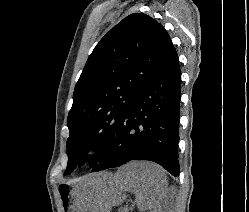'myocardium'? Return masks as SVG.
Wrapping results in <instances>:
<instances>
[{
    "label": "myocardium",
    "mask_w": 249,
    "mask_h": 212,
    "mask_svg": "<svg viewBox=\"0 0 249 212\" xmlns=\"http://www.w3.org/2000/svg\"><path fill=\"white\" fill-rule=\"evenodd\" d=\"M107 152V144L100 139L86 143L79 153V158L84 163H93L100 160Z\"/></svg>",
    "instance_id": "1"
}]
</instances>
